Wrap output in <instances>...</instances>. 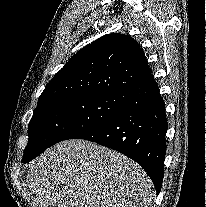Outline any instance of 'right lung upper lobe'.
Returning a JSON list of instances; mask_svg holds the SVG:
<instances>
[{
    "mask_svg": "<svg viewBox=\"0 0 206 207\" xmlns=\"http://www.w3.org/2000/svg\"><path fill=\"white\" fill-rule=\"evenodd\" d=\"M150 75L140 45L128 35L111 33L78 51L48 83L38 104L68 96L126 94Z\"/></svg>",
    "mask_w": 206,
    "mask_h": 207,
    "instance_id": "obj_1",
    "label": "right lung upper lobe"
}]
</instances>
